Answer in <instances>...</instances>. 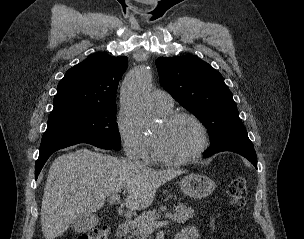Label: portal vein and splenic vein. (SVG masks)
Wrapping results in <instances>:
<instances>
[{"label":"portal vein and splenic vein","mask_w":304,"mask_h":239,"mask_svg":"<svg viewBox=\"0 0 304 239\" xmlns=\"http://www.w3.org/2000/svg\"><path fill=\"white\" fill-rule=\"evenodd\" d=\"M119 201H120V195L119 194H113V195L110 196V202L111 203H115V202H119ZM167 224H168V221H159V222L152 221L150 223L149 229L153 230L155 228H158L160 226H165Z\"/></svg>","instance_id":"obj_1"}]
</instances>
